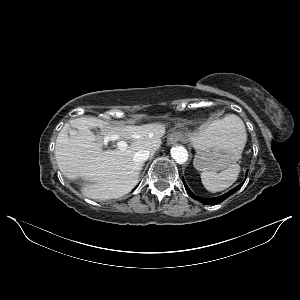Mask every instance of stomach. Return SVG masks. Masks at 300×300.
I'll list each match as a JSON object with an SVG mask.
<instances>
[{"label": "stomach", "mask_w": 300, "mask_h": 300, "mask_svg": "<svg viewBox=\"0 0 300 300\" xmlns=\"http://www.w3.org/2000/svg\"><path fill=\"white\" fill-rule=\"evenodd\" d=\"M196 150L194 167L216 172L235 164L244 149L242 135L232 121L216 120L188 135Z\"/></svg>", "instance_id": "stomach-1"}]
</instances>
